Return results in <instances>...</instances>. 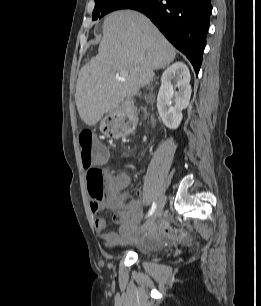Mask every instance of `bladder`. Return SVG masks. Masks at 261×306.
Segmentation results:
<instances>
[{"label": "bladder", "instance_id": "bladder-1", "mask_svg": "<svg viewBox=\"0 0 261 306\" xmlns=\"http://www.w3.org/2000/svg\"><path fill=\"white\" fill-rule=\"evenodd\" d=\"M140 254L142 256H147L150 254V250L146 246H142L140 249Z\"/></svg>", "mask_w": 261, "mask_h": 306}]
</instances>
